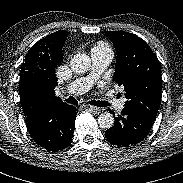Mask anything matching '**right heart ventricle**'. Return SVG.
Listing matches in <instances>:
<instances>
[{
	"label": "right heart ventricle",
	"mask_w": 183,
	"mask_h": 183,
	"mask_svg": "<svg viewBox=\"0 0 183 183\" xmlns=\"http://www.w3.org/2000/svg\"><path fill=\"white\" fill-rule=\"evenodd\" d=\"M97 50V51H108L111 52L110 47L104 43V42H99L93 49L92 51Z\"/></svg>",
	"instance_id": "e07e8e85"
}]
</instances>
